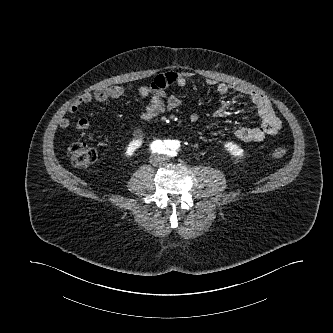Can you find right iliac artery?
I'll return each mask as SVG.
<instances>
[{
	"label": "right iliac artery",
	"mask_w": 333,
	"mask_h": 333,
	"mask_svg": "<svg viewBox=\"0 0 333 333\" xmlns=\"http://www.w3.org/2000/svg\"><path fill=\"white\" fill-rule=\"evenodd\" d=\"M166 147H170L169 140H165L164 142H162L161 140H156V141L152 142V144L150 145V149L152 152L161 153V154L167 153Z\"/></svg>",
	"instance_id": "right-iliac-artery-1"
}]
</instances>
